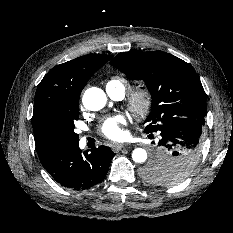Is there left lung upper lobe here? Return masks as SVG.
I'll return each mask as SVG.
<instances>
[{"mask_svg": "<svg viewBox=\"0 0 233 233\" xmlns=\"http://www.w3.org/2000/svg\"><path fill=\"white\" fill-rule=\"evenodd\" d=\"M110 64L131 78L142 79L151 93L146 132H156L175 120L205 122V91L190 64L163 51L120 53ZM197 161L181 157L164 165L150 162L142 176L152 183L173 185L189 176Z\"/></svg>", "mask_w": 233, "mask_h": 233, "instance_id": "5c2ea615", "label": "left lung upper lobe"}]
</instances>
